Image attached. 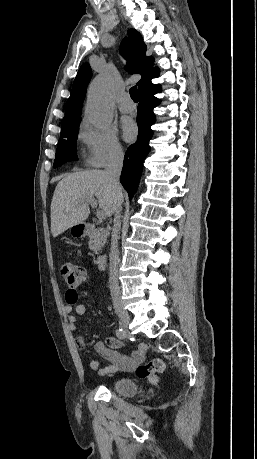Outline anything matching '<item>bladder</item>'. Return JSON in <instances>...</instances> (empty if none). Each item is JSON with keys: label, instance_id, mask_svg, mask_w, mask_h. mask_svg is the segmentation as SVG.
Returning <instances> with one entry per match:
<instances>
[{"label": "bladder", "instance_id": "31cf9c89", "mask_svg": "<svg viewBox=\"0 0 257 459\" xmlns=\"http://www.w3.org/2000/svg\"><path fill=\"white\" fill-rule=\"evenodd\" d=\"M112 390L123 397H130L139 392V387L132 378L119 377L113 381Z\"/></svg>", "mask_w": 257, "mask_h": 459}]
</instances>
